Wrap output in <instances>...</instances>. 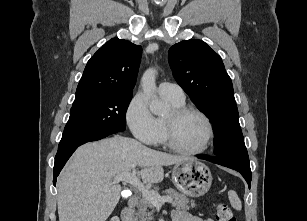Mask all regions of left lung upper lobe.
<instances>
[{
	"mask_svg": "<svg viewBox=\"0 0 307 221\" xmlns=\"http://www.w3.org/2000/svg\"><path fill=\"white\" fill-rule=\"evenodd\" d=\"M168 59L177 83L214 125L216 157L249 163L232 81L221 57L201 40H184L169 49Z\"/></svg>",
	"mask_w": 307,
	"mask_h": 221,
	"instance_id": "1",
	"label": "left lung upper lobe"
}]
</instances>
